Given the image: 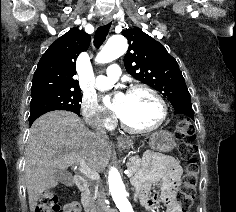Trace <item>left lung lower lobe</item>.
<instances>
[{
	"label": "left lung lower lobe",
	"mask_w": 236,
	"mask_h": 212,
	"mask_svg": "<svg viewBox=\"0 0 236 212\" xmlns=\"http://www.w3.org/2000/svg\"><path fill=\"white\" fill-rule=\"evenodd\" d=\"M172 106L175 109L174 114H183L194 120L191 100H180Z\"/></svg>",
	"instance_id": "obj_1"
}]
</instances>
